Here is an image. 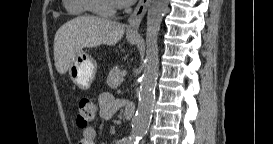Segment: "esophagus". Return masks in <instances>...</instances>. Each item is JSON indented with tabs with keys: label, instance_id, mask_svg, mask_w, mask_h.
Returning <instances> with one entry per match:
<instances>
[{
	"label": "esophagus",
	"instance_id": "1",
	"mask_svg": "<svg viewBox=\"0 0 273 144\" xmlns=\"http://www.w3.org/2000/svg\"><path fill=\"white\" fill-rule=\"evenodd\" d=\"M150 0H140L135 7L134 11L128 18L129 26L127 28V34L132 36L138 35V29L140 23L147 11Z\"/></svg>",
	"mask_w": 273,
	"mask_h": 144
}]
</instances>
